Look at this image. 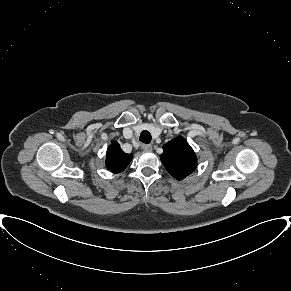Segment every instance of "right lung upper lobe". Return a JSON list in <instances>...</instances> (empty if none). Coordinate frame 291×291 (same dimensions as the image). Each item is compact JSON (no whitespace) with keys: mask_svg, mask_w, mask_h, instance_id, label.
<instances>
[{"mask_svg":"<svg viewBox=\"0 0 291 291\" xmlns=\"http://www.w3.org/2000/svg\"><path fill=\"white\" fill-rule=\"evenodd\" d=\"M132 159V154H125L117 142H112L106 152V167L113 173L122 172Z\"/></svg>","mask_w":291,"mask_h":291,"instance_id":"cb5924a9","label":"right lung upper lobe"}]
</instances>
